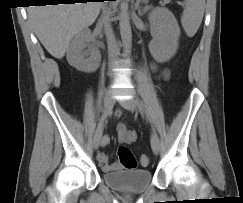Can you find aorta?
I'll list each match as a JSON object with an SVG mask.
<instances>
[{"mask_svg":"<svg viewBox=\"0 0 243 203\" xmlns=\"http://www.w3.org/2000/svg\"><path fill=\"white\" fill-rule=\"evenodd\" d=\"M119 26L123 47L126 52H130L132 47V31L129 21L128 5L125 2L120 4Z\"/></svg>","mask_w":243,"mask_h":203,"instance_id":"1","label":"aorta"}]
</instances>
